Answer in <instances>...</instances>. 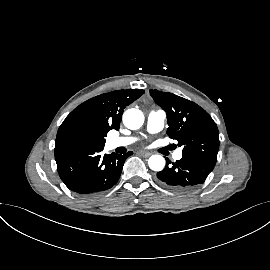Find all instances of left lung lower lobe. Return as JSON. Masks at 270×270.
I'll return each mask as SVG.
<instances>
[{"label":"left lung lower lobe","instance_id":"1","mask_svg":"<svg viewBox=\"0 0 270 270\" xmlns=\"http://www.w3.org/2000/svg\"><path fill=\"white\" fill-rule=\"evenodd\" d=\"M166 159L165 168L157 173L160 183L170 190L186 192L204 183L214 166L199 159L182 156L172 163Z\"/></svg>","mask_w":270,"mask_h":270}]
</instances>
